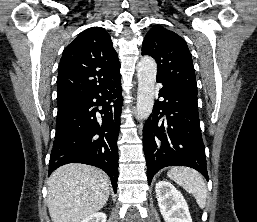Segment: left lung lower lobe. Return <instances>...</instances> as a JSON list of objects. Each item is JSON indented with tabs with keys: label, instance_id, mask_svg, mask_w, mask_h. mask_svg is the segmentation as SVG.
I'll use <instances>...</instances> for the list:
<instances>
[{
	"label": "left lung lower lobe",
	"instance_id": "left-lung-lower-lobe-1",
	"mask_svg": "<svg viewBox=\"0 0 257 222\" xmlns=\"http://www.w3.org/2000/svg\"><path fill=\"white\" fill-rule=\"evenodd\" d=\"M163 85L143 128V149L150 184L166 166H188L208 181L205 146L198 115L197 94L157 78Z\"/></svg>",
	"mask_w": 257,
	"mask_h": 222
}]
</instances>
